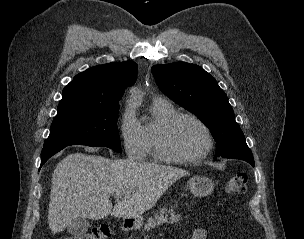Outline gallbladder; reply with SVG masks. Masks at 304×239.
I'll return each instance as SVG.
<instances>
[{"instance_id": "bac80fb5", "label": "gallbladder", "mask_w": 304, "mask_h": 239, "mask_svg": "<svg viewBox=\"0 0 304 239\" xmlns=\"http://www.w3.org/2000/svg\"><path fill=\"white\" fill-rule=\"evenodd\" d=\"M90 227V223L87 219L78 217L72 220L67 225V232L73 236H80L85 234Z\"/></svg>"}]
</instances>
